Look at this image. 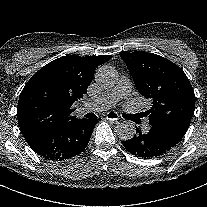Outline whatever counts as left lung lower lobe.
Here are the masks:
<instances>
[{
    "mask_svg": "<svg viewBox=\"0 0 207 207\" xmlns=\"http://www.w3.org/2000/svg\"><path fill=\"white\" fill-rule=\"evenodd\" d=\"M136 131L137 135L132 139L122 141L124 147L135 156L143 158L157 157L166 153L178 143L168 134L154 127H151L148 133H142L137 127Z\"/></svg>",
    "mask_w": 207,
    "mask_h": 207,
    "instance_id": "obj_1",
    "label": "left lung lower lobe"
}]
</instances>
